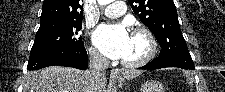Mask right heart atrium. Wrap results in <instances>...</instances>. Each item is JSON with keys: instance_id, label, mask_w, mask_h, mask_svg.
Masks as SVG:
<instances>
[{"instance_id": "1", "label": "right heart atrium", "mask_w": 225, "mask_h": 92, "mask_svg": "<svg viewBox=\"0 0 225 92\" xmlns=\"http://www.w3.org/2000/svg\"><path fill=\"white\" fill-rule=\"evenodd\" d=\"M90 55L97 60H101L102 56L101 54L98 52V50L96 48L91 47L90 48Z\"/></svg>"}]
</instances>
